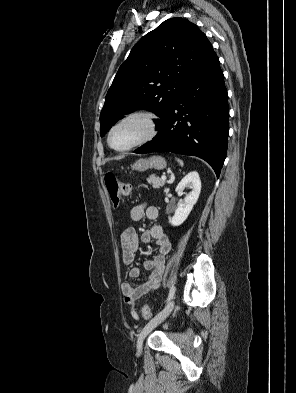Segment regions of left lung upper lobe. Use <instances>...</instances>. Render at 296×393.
Instances as JSON below:
<instances>
[{"instance_id": "left-lung-upper-lobe-1", "label": "left lung upper lobe", "mask_w": 296, "mask_h": 393, "mask_svg": "<svg viewBox=\"0 0 296 393\" xmlns=\"http://www.w3.org/2000/svg\"><path fill=\"white\" fill-rule=\"evenodd\" d=\"M214 52L206 35L183 18L146 34L120 66L100 115L103 136L123 115L138 109L167 119L176 98Z\"/></svg>"}]
</instances>
